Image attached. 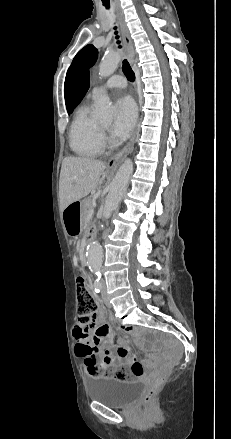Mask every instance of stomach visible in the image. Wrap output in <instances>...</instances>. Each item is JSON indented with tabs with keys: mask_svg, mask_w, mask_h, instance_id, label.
I'll return each instance as SVG.
<instances>
[{
	"mask_svg": "<svg viewBox=\"0 0 231 439\" xmlns=\"http://www.w3.org/2000/svg\"><path fill=\"white\" fill-rule=\"evenodd\" d=\"M67 208L63 211L64 229L69 235H77L80 229L79 220H77L76 218H70L67 213L65 214Z\"/></svg>",
	"mask_w": 231,
	"mask_h": 439,
	"instance_id": "0dacf381",
	"label": "stomach"
}]
</instances>
